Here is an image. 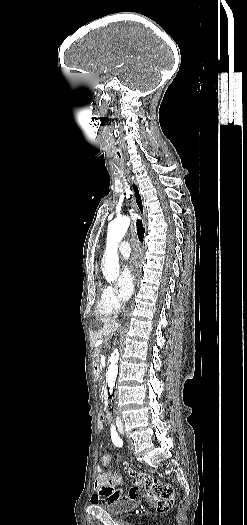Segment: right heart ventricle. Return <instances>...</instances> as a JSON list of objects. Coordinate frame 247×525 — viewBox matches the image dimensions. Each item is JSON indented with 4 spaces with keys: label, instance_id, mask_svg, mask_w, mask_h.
I'll return each mask as SVG.
<instances>
[{
    "label": "right heart ventricle",
    "instance_id": "e07e8e85",
    "mask_svg": "<svg viewBox=\"0 0 247 525\" xmlns=\"http://www.w3.org/2000/svg\"><path fill=\"white\" fill-rule=\"evenodd\" d=\"M101 292L104 293L106 287L100 285ZM119 312L118 307H113L100 300L95 307V317H116Z\"/></svg>",
    "mask_w": 247,
    "mask_h": 525
}]
</instances>
